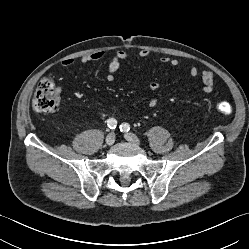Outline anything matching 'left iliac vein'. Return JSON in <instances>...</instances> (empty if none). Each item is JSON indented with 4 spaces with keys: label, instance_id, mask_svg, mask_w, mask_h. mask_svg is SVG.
<instances>
[{
    "label": "left iliac vein",
    "instance_id": "4c4485c4",
    "mask_svg": "<svg viewBox=\"0 0 249 249\" xmlns=\"http://www.w3.org/2000/svg\"><path fill=\"white\" fill-rule=\"evenodd\" d=\"M124 137H125V139H126L128 142H131V143H133V144H135V145H137V146L140 145V140H139V138H138L135 134H133V133H126V134L124 135Z\"/></svg>",
    "mask_w": 249,
    "mask_h": 249
}]
</instances>
